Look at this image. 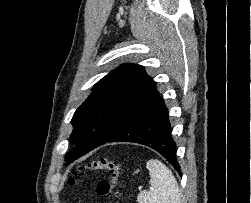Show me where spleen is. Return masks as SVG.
<instances>
[{"label":"spleen","instance_id":"1","mask_svg":"<svg viewBox=\"0 0 251 203\" xmlns=\"http://www.w3.org/2000/svg\"><path fill=\"white\" fill-rule=\"evenodd\" d=\"M146 168L150 174V191H141L138 203H181V194L171 170L157 159L149 160Z\"/></svg>","mask_w":251,"mask_h":203}]
</instances>
